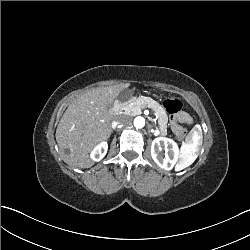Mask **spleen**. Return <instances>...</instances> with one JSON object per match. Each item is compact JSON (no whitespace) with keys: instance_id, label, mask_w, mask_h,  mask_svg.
Listing matches in <instances>:
<instances>
[{"instance_id":"1","label":"spleen","mask_w":250,"mask_h":250,"mask_svg":"<svg viewBox=\"0 0 250 250\" xmlns=\"http://www.w3.org/2000/svg\"><path fill=\"white\" fill-rule=\"evenodd\" d=\"M189 163H184L183 167H186Z\"/></svg>"}]
</instances>
